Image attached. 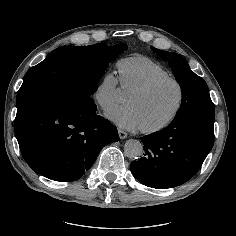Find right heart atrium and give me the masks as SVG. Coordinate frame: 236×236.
Here are the masks:
<instances>
[{"label": "right heart atrium", "mask_w": 236, "mask_h": 236, "mask_svg": "<svg viewBox=\"0 0 236 236\" xmlns=\"http://www.w3.org/2000/svg\"><path fill=\"white\" fill-rule=\"evenodd\" d=\"M120 90V77L107 71L94 87L92 98L102 110L110 111L119 103L117 94Z\"/></svg>", "instance_id": "obj_1"}]
</instances>
